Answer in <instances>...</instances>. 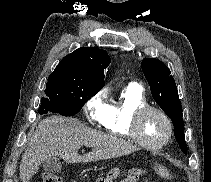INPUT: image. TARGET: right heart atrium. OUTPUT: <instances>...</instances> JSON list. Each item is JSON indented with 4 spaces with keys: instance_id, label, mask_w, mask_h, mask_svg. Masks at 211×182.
<instances>
[{
    "instance_id": "d8ad5b80",
    "label": "right heart atrium",
    "mask_w": 211,
    "mask_h": 182,
    "mask_svg": "<svg viewBox=\"0 0 211 182\" xmlns=\"http://www.w3.org/2000/svg\"><path fill=\"white\" fill-rule=\"evenodd\" d=\"M105 97L106 93L100 91L86 101L84 110L90 123L95 125L102 123L108 107L105 102Z\"/></svg>"
}]
</instances>
